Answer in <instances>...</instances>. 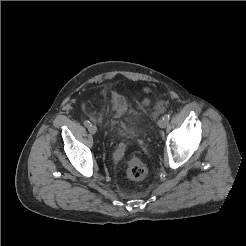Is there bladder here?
<instances>
[{
  "mask_svg": "<svg viewBox=\"0 0 246 246\" xmlns=\"http://www.w3.org/2000/svg\"><path fill=\"white\" fill-rule=\"evenodd\" d=\"M110 124L113 132L122 137L132 136L135 127L125 120V110L118 102L113 101L110 107Z\"/></svg>",
  "mask_w": 246,
  "mask_h": 246,
  "instance_id": "obj_1",
  "label": "bladder"
}]
</instances>
